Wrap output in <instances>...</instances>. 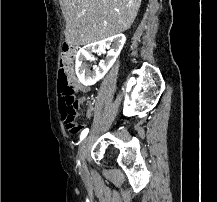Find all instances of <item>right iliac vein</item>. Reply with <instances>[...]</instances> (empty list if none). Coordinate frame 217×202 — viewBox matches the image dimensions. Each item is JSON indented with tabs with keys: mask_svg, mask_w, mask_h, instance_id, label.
<instances>
[{
	"mask_svg": "<svg viewBox=\"0 0 217 202\" xmlns=\"http://www.w3.org/2000/svg\"><path fill=\"white\" fill-rule=\"evenodd\" d=\"M87 139H84L80 145H79V148H78V164L80 165L81 168H83L84 166V160H85V156H86V150H87Z\"/></svg>",
	"mask_w": 217,
	"mask_h": 202,
	"instance_id": "obj_1",
	"label": "right iliac vein"
}]
</instances>
